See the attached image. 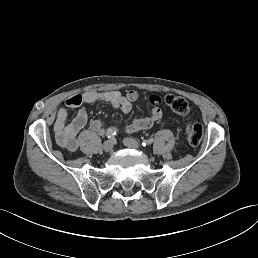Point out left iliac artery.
<instances>
[{
	"mask_svg": "<svg viewBox=\"0 0 258 258\" xmlns=\"http://www.w3.org/2000/svg\"><path fill=\"white\" fill-rule=\"evenodd\" d=\"M153 142H154V139H153V138H150V139L145 140V141H143L142 143H140V146L146 147V146L151 145Z\"/></svg>",
	"mask_w": 258,
	"mask_h": 258,
	"instance_id": "obj_1",
	"label": "left iliac artery"
}]
</instances>
